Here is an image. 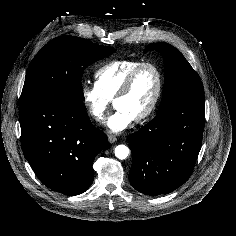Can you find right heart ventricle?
<instances>
[{"label":"right heart ventricle","mask_w":236,"mask_h":236,"mask_svg":"<svg viewBox=\"0 0 236 236\" xmlns=\"http://www.w3.org/2000/svg\"><path fill=\"white\" fill-rule=\"evenodd\" d=\"M142 62L140 59L111 61L95 72V83L109 100H113L128 74Z\"/></svg>","instance_id":"right-heart-ventricle-1"}]
</instances>
